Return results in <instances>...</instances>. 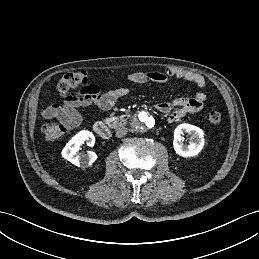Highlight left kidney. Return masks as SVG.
Returning <instances> with one entry per match:
<instances>
[{"instance_id":"obj_1","label":"left kidney","mask_w":259,"mask_h":259,"mask_svg":"<svg viewBox=\"0 0 259 259\" xmlns=\"http://www.w3.org/2000/svg\"><path fill=\"white\" fill-rule=\"evenodd\" d=\"M187 133L191 136L188 145H184L183 135ZM204 132L191 124H180L174 131L173 147L175 152L182 157L196 156L204 147Z\"/></svg>"}]
</instances>
